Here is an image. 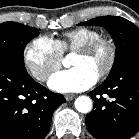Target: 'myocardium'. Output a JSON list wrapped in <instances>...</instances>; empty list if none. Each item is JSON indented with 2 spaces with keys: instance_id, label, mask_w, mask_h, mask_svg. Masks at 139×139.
<instances>
[{
  "instance_id": "myocardium-1",
  "label": "myocardium",
  "mask_w": 139,
  "mask_h": 139,
  "mask_svg": "<svg viewBox=\"0 0 139 139\" xmlns=\"http://www.w3.org/2000/svg\"><path fill=\"white\" fill-rule=\"evenodd\" d=\"M100 47H105L108 51L107 62L105 66L102 68V70L100 71V73L98 74V78H104L108 76L113 70L115 63H116V58H117L116 45L111 39L106 38V37L96 38L78 47L76 49V52L82 53V54H90L96 51Z\"/></svg>"
}]
</instances>
